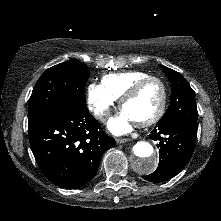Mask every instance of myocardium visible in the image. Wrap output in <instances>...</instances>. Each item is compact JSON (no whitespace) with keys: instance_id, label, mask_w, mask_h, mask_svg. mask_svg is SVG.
Listing matches in <instances>:
<instances>
[{"instance_id":"f54148a6","label":"myocardium","mask_w":221,"mask_h":221,"mask_svg":"<svg viewBox=\"0 0 221 221\" xmlns=\"http://www.w3.org/2000/svg\"><path fill=\"white\" fill-rule=\"evenodd\" d=\"M151 81H155L157 82L160 87H161V91H162V97H161V102L159 105L158 110L155 112V114L153 116H151L150 118L143 120V121H138L135 122L136 125L140 126V127H147L150 126L154 123H156L164 114L165 109H166V104H167V97H168V93H167V87L165 82L157 77V76H152L149 75L139 81H137L121 98H120V102H119V107L120 109L123 111V108L125 106V104L130 101L131 99H133L140 91L141 89L149 82Z\"/></svg>"}]
</instances>
